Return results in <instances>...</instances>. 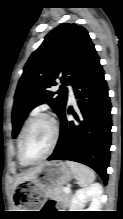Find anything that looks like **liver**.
Returning a JSON list of instances; mask_svg holds the SVG:
<instances>
[{
  "mask_svg": "<svg viewBox=\"0 0 123 219\" xmlns=\"http://www.w3.org/2000/svg\"><path fill=\"white\" fill-rule=\"evenodd\" d=\"M41 167H42V165H41V166H38V167H36V168H33V169L29 170L27 173H25V174L19 176V177L16 179L13 188H16V187H17L19 184H21L22 182L27 181V180L31 179L32 177H34V176L37 174V172H39V170L41 169Z\"/></svg>",
  "mask_w": 123,
  "mask_h": 219,
  "instance_id": "6515ba94",
  "label": "liver"
}]
</instances>
